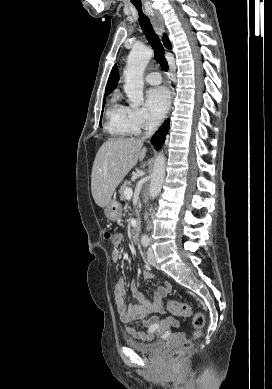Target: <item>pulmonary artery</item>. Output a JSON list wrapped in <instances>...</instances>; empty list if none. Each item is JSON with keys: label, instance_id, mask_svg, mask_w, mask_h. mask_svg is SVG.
<instances>
[{"label": "pulmonary artery", "instance_id": "e3ab8cb5", "mask_svg": "<svg viewBox=\"0 0 272 389\" xmlns=\"http://www.w3.org/2000/svg\"><path fill=\"white\" fill-rule=\"evenodd\" d=\"M146 82L151 85H157L161 83V75L158 72H150L145 77Z\"/></svg>", "mask_w": 272, "mask_h": 389}]
</instances>
